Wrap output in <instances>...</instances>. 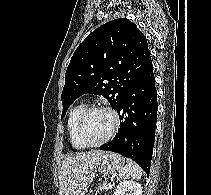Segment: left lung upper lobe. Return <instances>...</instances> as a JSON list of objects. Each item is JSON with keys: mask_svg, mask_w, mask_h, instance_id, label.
<instances>
[{"mask_svg": "<svg viewBox=\"0 0 211 195\" xmlns=\"http://www.w3.org/2000/svg\"><path fill=\"white\" fill-rule=\"evenodd\" d=\"M150 61L146 37L128 19H115L95 29L75 50L67 67L61 118L85 93L102 95L117 110Z\"/></svg>", "mask_w": 211, "mask_h": 195, "instance_id": "5c2ea615", "label": "left lung upper lobe"}]
</instances>
